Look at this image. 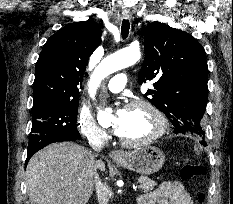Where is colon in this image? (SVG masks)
I'll use <instances>...</instances> for the list:
<instances>
[{
    "label": "colon",
    "instance_id": "5ec220e1",
    "mask_svg": "<svg viewBox=\"0 0 233 204\" xmlns=\"http://www.w3.org/2000/svg\"><path fill=\"white\" fill-rule=\"evenodd\" d=\"M206 174V168L201 163H189L185 164L180 169V177L184 181L192 180L195 177L203 176ZM205 200V194H198V201L203 203Z\"/></svg>",
    "mask_w": 233,
    "mask_h": 204
}]
</instances>
